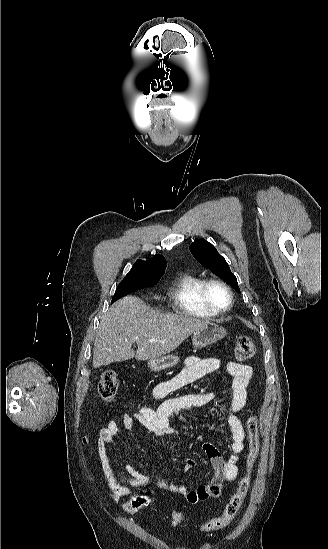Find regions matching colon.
Returning a JSON list of instances; mask_svg holds the SVG:
<instances>
[{"label":"colon","mask_w":328,"mask_h":549,"mask_svg":"<svg viewBox=\"0 0 328 549\" xmlns=\"http://www.w3.org/2000/svg\"><path fill=\"white\" fill-rule=\"evenodd\" d=\"M255 351V345L248 336L242 335L235 340L234 355L238 361L244 362L249 360L253 357ZM118 388L119 379L117 373L113 370L103 372L98 384V392L101 398L105 401L112 402L117 396ZM247 435L248 444L245 459L246 472L241 478L237 490L226 503L223 513L220 516L210 518L200 525V530L202 532H211L226 528L236 518L243 505L249 489L251 473L259 452L258 422L255 415H252L247 421ZM154 504V493L150 489H145L126 502L124 510L127 514L133 515L143 509L154 506ZM171 518L174 527L183 526L185 523V517L180 512H172Z\"/></svg>","instance_id":"1"}]
</instances>
